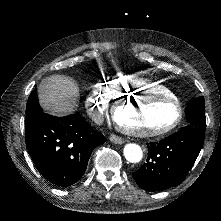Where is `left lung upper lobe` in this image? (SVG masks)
<instances>
[{
    "label": "left lung upper lobe",
    "mask_w": 221,
    "mask_h": 221,
    "mask_svg": "<svg viewBox=\"0 0 221 221\" xmlns=\"http://www.w3.org/2000/svg\"><path fill=\"white\" fill-rule=\"evenodd\" d=\"M204 103V97H198L194 99L185 110L190 125L200 130H205L206 128Z\"/></svg>",
    "instance_id": "1"
}]
</instances>
